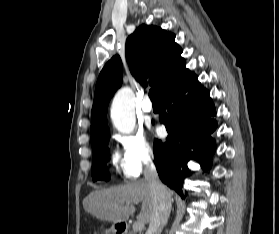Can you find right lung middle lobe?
<instances>
[{
	"label": "right lung middle lobe",
	"mask_w": 279,
	"mask_h": 234,
	"mask_svg": "<svg viewBox=\"0 0 279 234\" xmlns=\"http://www.w3.org/2000/svg\"><path fill=\"white\" fill-rule=\"evenodd\" d=\"M110 135H107L94 144H92L93 149V168H92V178L93 180H109L107 174V160L109 158V148L107 143L109 142Z\"/></svg>",
	"instance_id": "dd1d6c3e"
}]
</instances>
